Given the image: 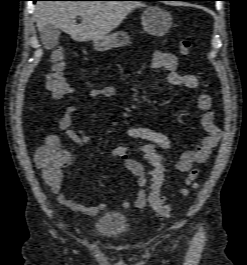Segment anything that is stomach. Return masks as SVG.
I'll list each match as a JSON object with an SVG mask.
<instances>
[{
  "instance_id": "obj_1",
  "label": "stomach",
  "mask_w": 247,
  "mask_h": 265,
  "mask_svg": "<svg viewBox=\"0 0 247 265\" xmlns=\"http://www.w3.org/2000/svg\"><path fill=\"white\" fill-rule=\"evenodd\" d=\"M141 23L143 29L150 35L161 37L165 35L172 25V16L168 11L158 5L148 6L142 13ZM130 43L129 35L124 31L93 40L96 51L104 52L112 48H120Z\"/></svg>"
}]
</instances>
